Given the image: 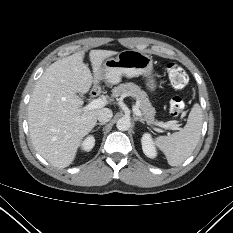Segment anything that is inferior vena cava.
Listing matches in <instances>:
<instances>
[{
    "instance_id": "1",
    "label": "inferior vena cava",
    "mask_w": 233,
    "mask_h": 233,
    "mask_svg": "<svg viewBox=\"0 0 233 233\" xmlns=\"http://www.w3.org/2000/svg\"><path fill=\"white\" fill-rule=\"evenodd\" d=\"M113 116L112 110L108 109V108H102L101 110H99L98 115H97V119L99 120V122L101 123H106L108 121L111 120Z\"/></svg>"
}]
</instances>
